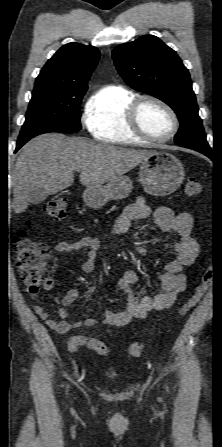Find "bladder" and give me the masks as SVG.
I'll return each instance as SVG.
<instances>
[{"mask_svg":"<svg viewBox=\"0 0 222 447\" xmlns=\"http://www.w3.org/2000/svg\"><path fill=\"white\" fill-rule=\"evenodd\" d=\"M107 374L110 375V376H112V375H114L115 373L112 372V371H108Z\"/></svg>","mask_w":222,"mask_h":447,"instance_id":"1","label":"bladder"}]
</instances>
